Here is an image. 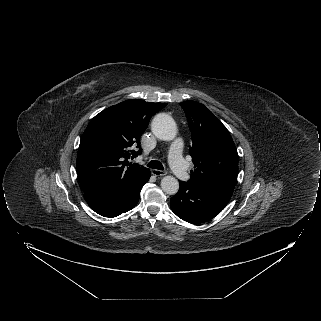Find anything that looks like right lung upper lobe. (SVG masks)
Returning a JSON list of instances; mask_svg holds the SVG:
<instances>
[{
    "label": "right lung upper lobe",
    "instance_id": "1",
    "mask_svg": "<svg viewBox=\"0 0 321 321\" xmlns=\"http://www.w3.org/2000/svg\"><path fill=\"white\" fill-rule=\"evenodd\" d=\"M166 106L144 100H126L97 114L84 131L77 154V172L84 192L100 187L129 184L148 168L128 163L141 153L139 139L150 118ZM137 144L139 152L131 150Z\"/></svg>",
    "mask_w": 321,
    "mask_h": 321
}]
</instances>
